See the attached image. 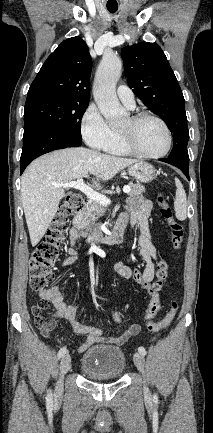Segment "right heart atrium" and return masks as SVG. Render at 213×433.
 Instances as JSON below:
<instances>
[{
  "label": "right heart atrium",
  "mask_w": 213,
  "mask_h": 433,
  "mask_svg": "<svg viewBox=\"0 0 213 433\" xmlns=\"http://www.w3.org/2000/svg\"><path fill=\"white\" fill-rule=\"evenodd\" d=\"M80 129L85 142L98 150H104L113 137V130L93 105H90L84 112Z\"/></svg>",
  "instance_id": "1"
}]
</instances>
